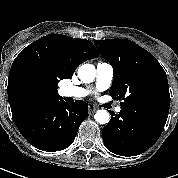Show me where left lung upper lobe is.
<instances>
[{
  "label": "left lung upper lobe",
  "instance_id": "left-lung-upper-lobe-1",
  "mask_svg": "<svg viewBox=\"0 0 178 178\" xmlns=\"http://www.w3.org/2000/svg\"><path fill=\"white\" fill-rule=\"evenodd\" d=\"M114 70L110 94L123 99L121 109L165 125L170 108L166 73L157 59L126 39L95 40Z\"/></svg>",
  "mask_w": 178,
  "mask_h": 178
}]
</instances>
